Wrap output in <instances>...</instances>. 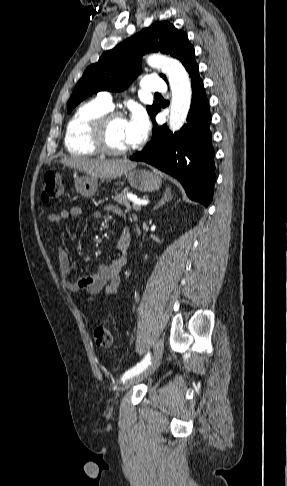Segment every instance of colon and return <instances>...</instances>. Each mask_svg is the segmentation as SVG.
Returning <instances> with one entry per match:
<instances>
[{
    "instance_id": "colon-1",
    "label": "colon",
    "mask_w": 287,
    "mask_h": 486,
    "mask_svg": "<svg viewBox=\"0 0 287 486\" xmlns=\"http://www.w3.org/2000/svg\"><path fill=\"white\" fill-rule=\"evenodd\" d=\"M62 193V183L59 173L55 171H48L43 178V185L41 190V199L43 202H49L58 198ZM94 341L99 348H108L112 343V334L110 328L100 323L94 329Z\"/></svg>"
}]
</instances>
